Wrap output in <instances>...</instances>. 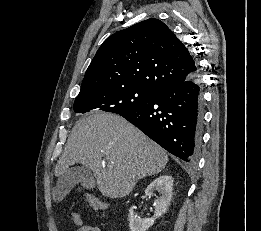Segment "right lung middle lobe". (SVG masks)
Masks as SVG:
<instances>
[{"mask_svg": "<svg viewBox=\"0 0 261 231\" xmlns=\"http://www.w3.org/2000/svg\"><path fill=\"white\" fill-rule=\"evenodd\" d=\"M154 95L149 90L133 86L97 91L78 95L74 102V111L86 113L103 110L121 115L144 106Z\"/></svg>", "mask_w": 261, "mask_h": 231, "instance_id": "obj_1", "label": "right lung middle lobe"}]
</instances>
